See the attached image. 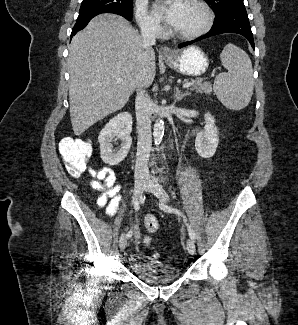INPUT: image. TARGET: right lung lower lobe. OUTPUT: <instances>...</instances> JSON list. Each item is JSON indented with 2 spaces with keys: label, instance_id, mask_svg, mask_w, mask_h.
Segmentation results:
<instances>
[{
  "label": "right lung lower lobe",
  "instance_id": "obj_1",
  "mask_svg": "<svg viewBox=\"0 0 298 325\" xmlns=\"http://www.w3.org/2000/svg\"><path fill=\"white\" fill-rule=\"evenodd\" d=\"M102 13H106V12H102ZM96 15L86 17V18H78L75 26L72 29L71 37L74 36L78 31L82 30L88 24V22ZM123 17H125L127 20H132V17H128V16H123Z\"/></svg>",
  "mask_w": 298,
  "mask_h": 325
}]
</instances>
